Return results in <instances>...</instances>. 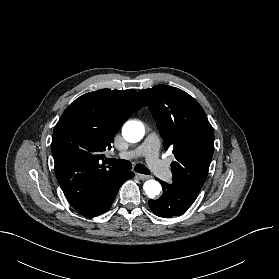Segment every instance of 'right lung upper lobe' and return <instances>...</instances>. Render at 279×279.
I'll use <instances>...</instances> for the list:
<instances>
[{"mask_svg": "<svg viewBox=\"0 0 279 279\" xmlns=\"http://www.w3.org/2000/svg\"><path fill=\"white\" fill-rule=\"evenodd\" d=\"M146 105L133 89H101L80 96L64 111L54 128L52 154L57 180L75 210L89 208L104 184L121 173L105 167L103 152L132 113Z\"/></svg>", "mask_w": 279, "mask_h": 279, "instance_id": "right-lung-upper-lobe-1", "label": "right lung upper lobe"}]
</instances>
